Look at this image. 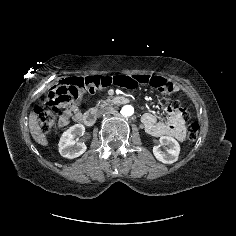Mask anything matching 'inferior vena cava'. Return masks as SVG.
Masks as SVG:
<instances>
[{
    "mask_svg": "<svg viewBox=\"0 0 236 236\" xmlns=\"http://www.w3.org/2000/svg\"><path fill=\"white\" fill-rule=\"evenodd\" d=\"M101 114H102V112H98V113H97V116H100Z\"/></svg>",
    "mask_w": 236,
    "mask_h": 236,
    "instance_id": "1",
    "label": "inferior vena cava"
}]
</instances>
